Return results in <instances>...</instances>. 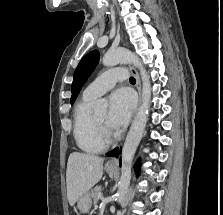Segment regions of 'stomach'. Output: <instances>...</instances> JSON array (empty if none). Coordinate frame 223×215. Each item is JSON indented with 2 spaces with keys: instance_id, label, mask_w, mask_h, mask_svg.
I'll list each match as a JSON object with an SVG mask.
<instances>
[{
  "instance_id": "obj_1",
  "label": "stomach",
  "mask_w": 223,
  "mask_h": 215,
  "mask_svg": "<svg viewBox=\"0 0 223 215\" xmlns=\"http://www.w3.org/2000/svg\"><path fill=\"white\" fill-rule=\"evenodd\" d=\"M105 169L107 173H109L110 177H113L114 173H116L117 171V167H109V165H105ZM89 195L90 194L87 191V193H83V195H80L78 199V209H80V211H84V213H87L92 205Z\"/></svg>"
}]
</instances>
